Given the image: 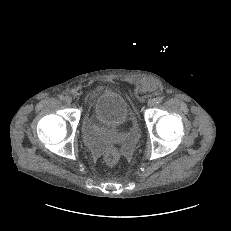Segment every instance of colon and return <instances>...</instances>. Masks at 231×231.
Listing matches in <instances>:
<instances>
[{
	"instance_id": "5ec220e1",
	"label": "colon",
	"mask_w": 231,
	"mask_h": 231,
	"mask_svg": "<svg viewBox=\"0 0 231 231\" xmlns=\"http://www.w3.org/2000/svg\"><path fill=\"white\" fill-rule=\"evenodd\" d=\"M151 85H152V83L149 81H147L143 84L144 87H148ZM104 159H105L106 163H108L110 165L116 164L120 160V153L116 149H110L105 153Z\"/></svg>"
}]
</instances>
